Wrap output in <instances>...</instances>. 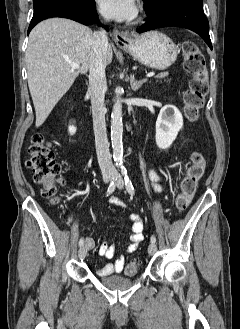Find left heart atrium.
Here are the masks:
<instances>
[{
    "mask_svg": "<svg viewBox=\"0 0 240 329\" xmlns=\"http://www.w3.org/2000/svg\"><path fill=\"white\" fill-rule=\"evenodd\" d=\"M101 13L117 21H130L137 15L135 0H98Z\"/></svg>",
    "mask_w": 240,
    "mask_h": 329,
    "instance_id": "1",
    "label": "left heart atrium"
}]
</instances>
